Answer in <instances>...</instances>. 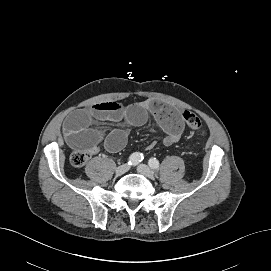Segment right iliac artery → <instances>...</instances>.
<instances>
[{"instance_id": "right-iliac-artery-1", "label": "right iliac artery", "mask_w": 271, "mask_h": 271, "mask_svg": "<svg viewBox=\"0 0 271 271\" xmlns=\"http://www.w3.org/2000/svg\"><path fill=\"white\" fill-rule=\"evenodd\" d=\"M144 159V156L142 153L135 152L133 153L129 159H128V165H137L139 162H141Z\"/></svg>"}]
</instances>
